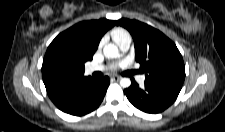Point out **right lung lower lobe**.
<instances>
[{
	"mask_svg": "<svg viewBox=\"0 0 225 132\" xmlns=\"http://www.w3.org/2000/svg\"><path fill=\"white\" fill-rule=\"evenodd\" d=\"M108 86L107 76L98 79L85 77L49 97L63 112L81 116L95 110L100 105Z\"/></svg>",
	"mask_w": 225,
	"mask_h": 132,
	"instance_id": "right-lung-lower-lobe-1",
	"label": "right lung lower lobe"
}]
</instances>
